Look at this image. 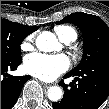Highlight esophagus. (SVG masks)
I'll return each mask as SVG.
<instances>
[{"label": "esophagus", "instance_id": "34e87169", "mask_svg": "<svg viewBox=\"0 0 109 109\" xmlns=\"http://www.w3.org/2000/svg\"><path fill=\"white\" fill-rule=\"evenodd\" d=\"M43 86H44L45 88H48V87L51 86V84L43 83Z\"/></svg>", "mask_w": 109, "mask_h": 109}]
</instances>
